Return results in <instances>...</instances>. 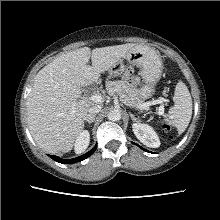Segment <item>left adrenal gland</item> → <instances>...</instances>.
Here are the masks:
<instances>
[{"mask_svg": "<svg viewBox=\"0 0 220 220\" xmlns=\"http://www.w3.org/2000/svg\"><path fill=\"white\" fill-rule=\"evenodd\" d=\"M132 120H136L132 113H129Z\"/></svg>", "mask_w": 220, "mask_h": 220, "instance_id": "a2214340", "label": "left adrenal gland"}]
</instances>
